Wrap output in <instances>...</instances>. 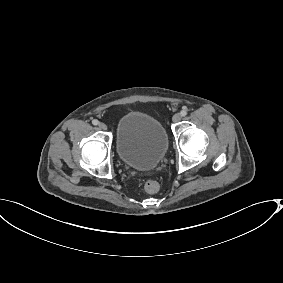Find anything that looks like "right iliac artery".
Listing matches in <instances>:
<instances>
[{"label":"right iliac artery","instance_id":"1","mask_svg":"<svg viewBox=\"0 0 283 283\" xmlns=\"http://www.w3.org/2000/svg\"><path fill=\"white\" fill-rule=\"evenodd\" d=\"M92 123H93V125H98V124H99V121H98L97 119H94V120L92 121Z\"/></svg>","mask_w":283,"mask_h":283}]
</instances>
